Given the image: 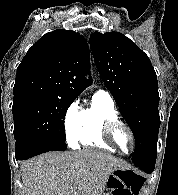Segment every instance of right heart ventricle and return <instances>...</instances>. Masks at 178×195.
<instances>
[{
	"mask_svg": "<svg viewBox=\"0 0 178 195\" xmlns=\"http://www.w3.org/2000/svg\"><path fill=\"white\" fill-rule=\"evenodd\" d=\"M114 119H118V112L113 99L105 94L96 93L92 98L91 105L83 111L80 144L115 152L102 136L105 124Z\"/></svg>",
	"mask_w": 178,
	"mask_h": 195,
	"instance_id": "1",
	"label": "right heart ventricle"
}]
</instances>
